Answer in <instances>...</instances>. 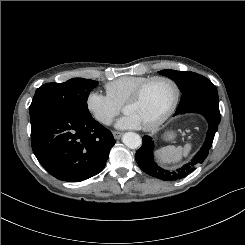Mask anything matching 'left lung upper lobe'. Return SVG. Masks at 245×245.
I'll use <instances>...</instances> for the list:
<instances>
[{"label": "left lung upper lobe", "instance_id": "1", "mask_svg": "<svg viewBox=\"0 0 245 245\" xmlns=\"http://www.w3.org/2000/svg\"><path fill=\"white\" fill-rule=\"evenodd\" d=\"M159 73L175 81L183 93L176 113L198 103L219 104L217 89L206 77L194 72L170 69L159 71Z\"/></svg>", "mask_w": 245, "mask_h": 245}]
</instances>
